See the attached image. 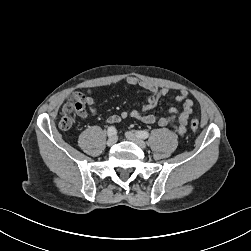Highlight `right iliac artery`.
I'll return each instance as SVG.
<instances>
[{
  "instance_id": "right-iliac-artery-1",
  "label": "right iliac artery",
  "mask_w": 251,
  "mask_h": 251,
  "mask_svg": "<svg viewBox=\"0 0 251 251\" xmlns=\"http://www.w3.org/2000/svg\"><path fill=\"white\" fill-rule=\"evenodd\" d=\"M107 134H108L109 137H111V136H113L114 134H116V129H115V127H114V126H110V127L108 128Z\"/></svg>"
}]
</instances>
